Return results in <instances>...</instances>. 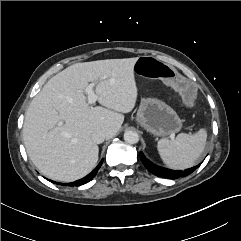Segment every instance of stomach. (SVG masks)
Here are the masks:
<instances>
[{"mask_svg":"<svg viewBox=\"0 0 241 241\" xmlns=\"http://www.w3.org/2000/svg\"><path fill=\"white\" fill-rule=\"evenodd\" d=\"M136 122L154 136H170L182 128L181 119L176 111L157 98L141 100Z\"/></svg>","mask_w":241,"mask_h":241,"instance_id":"1","label":"stomach"}]
</instances>
